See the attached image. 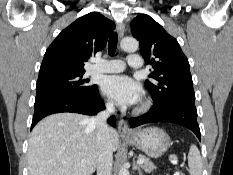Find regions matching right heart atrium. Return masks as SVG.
I'll list each match as a JSON object with an SVG mask.
<instances>
[{
  "label": "right heart atrium",
  "mask_w": 233,
  "mask_h": 175,
  "mask_svg": "<svg viewBox=\"0 0 233 175\" xmlns=\"http://www.w3.org/2000/svg\"><path fill=\"white\" fill-rule=\"evenodd\" d=\"M105 105H106V107L109 108V109H111V108L113 107V103H112L110 100H107V101L105 102Z\"/></svg>",
  "instance_id": "right-heart-atrium-1"
}]
</instances>
